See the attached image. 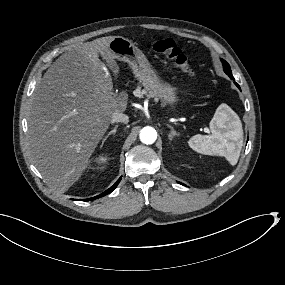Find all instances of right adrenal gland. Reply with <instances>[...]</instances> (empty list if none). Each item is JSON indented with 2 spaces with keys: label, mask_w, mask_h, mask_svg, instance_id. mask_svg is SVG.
Here are the masks:
<instances>
[{
  "label": "right adrenal gland",
  "mask_w": 285,
  "mask_h": 285,
  "mask_svg": "<svg viewBox=\"0 0 285 285\" xmlns=\"http://www.w3.org/2000/svg\"><path fill=\"white\" fill-rule=\"evenodd\" d=\"M117 128H118V125H115V127H114L111 131H109V133H108V134L104 137V139L102 140V143H101V146H100V147H103L105 141L109 138L110 135L116 133Z\"/></svg>",
  "instance_id": "obj_1"
}]
</instances>
